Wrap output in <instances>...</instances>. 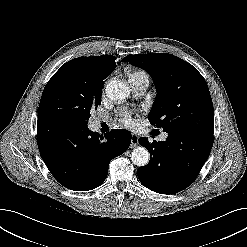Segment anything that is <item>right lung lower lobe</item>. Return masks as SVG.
Returning a JSON list of instances; mask_svg holds the SVG:
<instances>
[{
	"mask_svg": "<svg viewBox=\"0 0 247 247\" xmlns=\"http://www.w3.org/2000/svg\"><path fill=\"white\" fill-rule=\"evenodd\" d=\"M131 133L112 129L103 136L87 128H75L47 117H38L37 144L40 155L54 178L74 191L100 186L107 177L110 161L123 154Z\"/></svg>",
	"mask_w": 247,
	"mask_h": 247,
	"instance_id": "right-lung-lower-lobe-1",
	"label": "right lung lower lobe"
}]
</instances>
